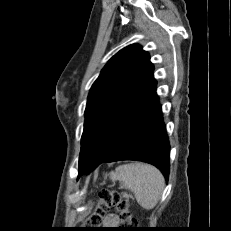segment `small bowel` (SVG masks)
Returning a JSON list of instances; mask_svg holds the SVG:
<instances>
[{
	"mask_svg": "<svg viewBox=\"0 0 231 231\" xmlns=\"http://www.w3.org/2000/svg\"><path fill=\"white\" fill-rule=\"evenodd\" d=\"M119 224V217L116 214H109L106 216L104 226L107 228L115 227Z\"/></svg>",
	"mask_w": 231,
	"mask_h": 231,
	"instance_id": "1",
	"label": "small bowel"
}]
</instances>
